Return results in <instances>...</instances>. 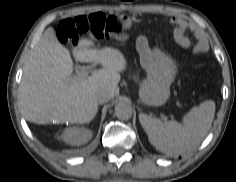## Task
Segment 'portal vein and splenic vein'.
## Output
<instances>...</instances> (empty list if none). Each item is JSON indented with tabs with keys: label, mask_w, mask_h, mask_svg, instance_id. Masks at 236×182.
I'll use <instances>...</instances> for the list:
<instances>
[{
	"label": "portal vein and splenic vein",
	"mask_w": 236,
	"mask_h": 182,
	"mask_svg": "<svg viewBox=\"0 0 236 182\" xmlns=\"http://www.w3.org/2000/svg\"><path fill=\"white\" fill-rule=\"evenodd\" d=\"M89 73H90V69H88V68L80 69V70L77 71V76L87 77Z\"/></svg>",
	"instance_id": "18ae733b"
}]
</instances>
